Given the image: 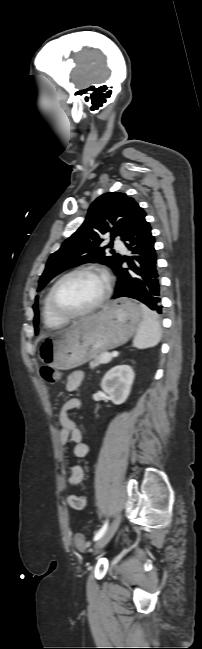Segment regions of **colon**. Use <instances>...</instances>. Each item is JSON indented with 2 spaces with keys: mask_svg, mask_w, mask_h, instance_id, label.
Segmentation results:
<instances>
[{
  "mask_svg": "<svg viewBox=\"0 0 202 649\" xmlns=\"http://www.w3.org/2000/svg\"><path fill=\"white\" fill-rule=\"evenodd\" d=\"M40 373H41L42 378L46 382L51 383V384L58 382L59 379H60L59 372L56 369H54V368H52L50 366H42L41 369H40ZM74 543H75L76 548L80 552H83V553L89 552V550H90L89 549V543L87 542V540L84 538V536L82 534L77 533L75 535Z\"/></svg>",
  "mask_w": 202,
  "mask_h": 649,
  "instance_id": "colon-1",
  "label": "colon"
}]
</instances>
